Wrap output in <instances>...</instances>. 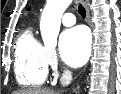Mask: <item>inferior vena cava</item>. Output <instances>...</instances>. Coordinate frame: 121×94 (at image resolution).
<instances>
[{
  "instance_id": "1",
  "label": "inferior vena cava",
  "mask_w": 121,
  "mask_h": 94,
  "mask_svg": "<svg viewBox=\"0 0 121 94\" xmlns=\"http://www.w3.org/2000/svg\"><path fill=\"white\" fill-rule=\"evenodd\" d=\"M72 81V73L69 70L64 71L63 76L60 79L62 86H68Z\"/></svg>"
}]
</instances>
